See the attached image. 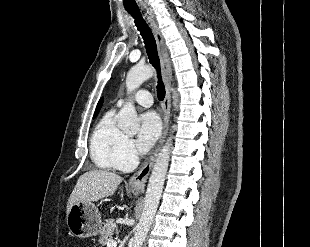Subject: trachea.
Listing matches in <instances>:
<instances>
[{"mask_svg":"<svg viewBox=\"0 0 310 247\" xmlns=\"http://www.w3.org/2000/svg\"><path fill=\"white\" fill-rule=\"evenodd\" d=\"M131 16L135 20V25L137 26L140 34L144 40L146 52L148 54V58L153 67L157 70L158 74V85H157V97L160 101H162L165 97V86L162 82L161 71H160V61L157 53V46L154 36L143 19L139 10H128Z\"/></svg>","mask_w":310,"mask_h":247,"instance_id":"obj_1","label":"trachea"}]
</instances>
